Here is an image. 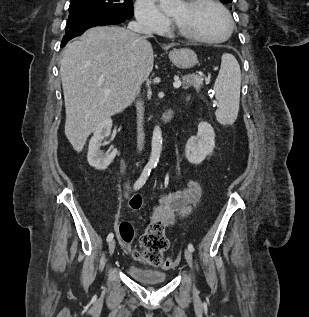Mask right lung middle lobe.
<instances>
[{
  "instance_id": "obj_1",
  "label": "right lung middle lobe",
  "mask_w": 309,
  "mask_h": 317,
  "mask_svg": "<svg viewBox=\"0 0 309 317\" xmlns=\"http://www.w3.org/2000/svg\"><path fill=\"white\" fill-rule=\"evenodd\" d=\"M99 12L125 19L133 17L132 0H71L69 14Z\"/></svg>"
}]
</instances>
